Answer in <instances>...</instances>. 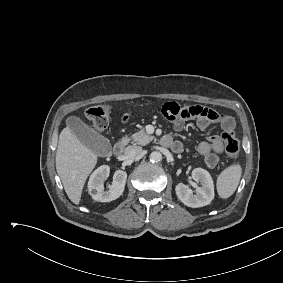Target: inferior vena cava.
I'll return each instance as SVG.
<instances>
[{"instance_id":"1","label":"inferior vena cava","mask_w":283,"mask_h":283,"mask_svg":"<svg viewBox=\"0 0 283 283\" xmlns=\"http://www.w3.org/2000/svg\"><path fill=\"white\" fill-rule=\"evenodd\" d=\"M142 152V147L140 146H128L125 149V155L129 158H134Z\"/></svg>"}]
</instances>
